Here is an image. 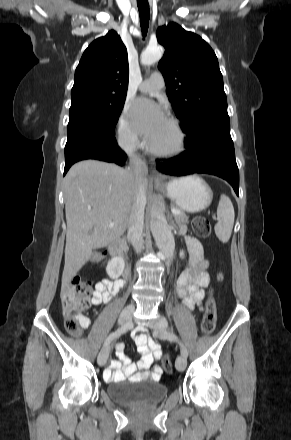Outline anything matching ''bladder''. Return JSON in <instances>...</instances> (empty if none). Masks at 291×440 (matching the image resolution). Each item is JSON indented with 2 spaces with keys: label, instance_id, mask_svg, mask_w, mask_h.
Instances as JSON below:
<instances>
[{
  "label": "bladder",
  "instance_id": "obj_1",
  "mask_svg": "<svg viewBox=\"0 0 291 440\" xmlns=\"http://www.w3.org/2000/svg\"><path fill=\"white\" fill-rule=\"evenodd\" d=\"M167 387L152 381L120 380L108 384V394L125 406L158 403L167 394Z\"/></svg>",
  "mask_w": 291,
  "mask_h": 440
}]
</instances>
